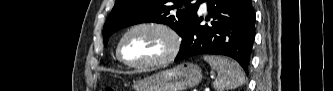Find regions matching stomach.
<instances>
[{
	"mask_svg": "<svg viewBox=\"0 0 333 91\" xmlns=\"http://www.w3.org/2000/svg\"><path fill=\"white\" fill-rule=\"evenodd\" d=\"M201 80L199 66L183 63L140 79L133 86L136 91H185L198 85Z\"/></svg>",
	"mask_w": 333,
	"mask_h": 91,
	"instance_id": "0dacf381",
	"label": "stomach"
}]
</instances>
